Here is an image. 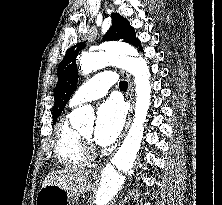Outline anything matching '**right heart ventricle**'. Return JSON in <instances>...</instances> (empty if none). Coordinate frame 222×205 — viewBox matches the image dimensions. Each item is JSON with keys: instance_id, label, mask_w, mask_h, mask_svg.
Masks as SVG:
<instances>
[{"instance_id": "e07e8e85", "label": "right heart ventricle", "mask_w": 222, "mask_h": 205, "mask_svg": "<svg viewBox=\"0 0 222 205\" xmlns=\"http://www.w3.org/2000/svg\"><path fill=\"white\" fill-rule=\"evenodd\" d=\"M55 155L58 162L66 167L78 168L87 162L83 143L68 116H64L57 126Z\"/></svg>"}]
</instances>
